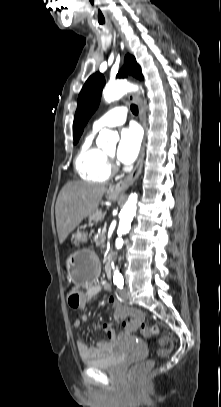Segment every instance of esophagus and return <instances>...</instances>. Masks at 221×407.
<instances>
[{
  "label": "esophagus",
  "mask_w": 221,
  "mask_h": 407,
  "mask_svg": "<svg viewBox=\"0 0 221 407\" xmlns=\"http://www.w3.org/2000/svg\"><path fill=\"white\" fill-rule=\"evenodd\" d=\"M129 99L131 102L137 104L139 106V117H140V121L142 123V126L145 130H147V124H146V115H145V110L142 106V101L139 98V96L137 94H129ZM145 139H146V134H145V138L143 140L142 143V147H141V151H140V155L138 158V161L134 167V169L132 170V172L125 177L123 180H120L119 182H117L116 184H114L113 186H111L110 191L114 194H123L125 193V191L134 183V181L139 177L141 171H142V167H143V160H144V155H145Z\"/></svg>",
  "instance_id": "34e87169"
}]
</instances>
